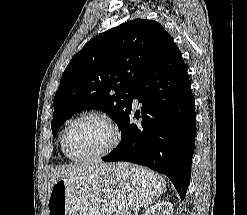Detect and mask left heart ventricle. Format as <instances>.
<instances>
[{
	"instance_id": "b2bd125f",
	"label": "left heart ventricle",
	"mask_w": 247,
	"mask_h": 215,
	"mask_svg": "<svg viewBox=\"0 0 247 215\" xmlns=\"http://www.w3.org/2000/svg\"><path fill=\"white\" fill-rule=\"evenodd\" d=\"M112 133L102 121L86 118L72 129L70 146L76 156H86L103 151L111 142Z\"/></svg>"
}]
</instances>
